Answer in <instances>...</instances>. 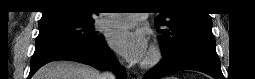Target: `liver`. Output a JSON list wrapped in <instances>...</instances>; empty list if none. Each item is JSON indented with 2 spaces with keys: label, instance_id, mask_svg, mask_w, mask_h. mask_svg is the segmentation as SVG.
<instances>
[{
  "label": "liver",
  "instance_id": "6515ba94",
  "mask_svg": "<svg viewBox=\"0 0 255 79\" xmlns=\"http://www.w3.org/2000/svg\"><path fill=\"white\" fill-rule=\"evenodd\" d=\"M98 70L74 61H53L40 68L34 79H101Z\"/></svg>",
  "mask_w": 255,
  "mask_h": 79
}]
</instances>
